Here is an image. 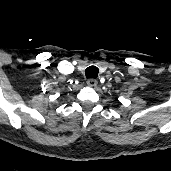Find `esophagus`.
Here are the masks:
<instances>
[{"label":"esophagus","instance_id":"esophagus-1","mask_svg":"<svg viewBox=\"0 0 171 171\" xmlns=\"http://www.w3.org/2000/svg\"><path fill=\"white\" fill-rule=\"evenodd\" d=\"M87 85L90 87H95L97 85V80L94 78H90L87 80Z\"/></svg>","mask_w":171,"mask_h":171}]
</instances>
